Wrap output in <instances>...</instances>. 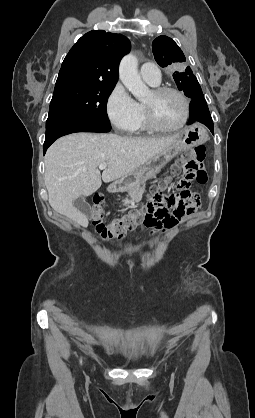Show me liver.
I'll return each instance as SVG.
<instances>
[{"mask_svg": "<svg viewBox=\"0 0 255 418\" xmlns=\"http://www.w3.org/2000/svg\"><path fill=\"white\" fill-rule=\"evenodd\" d=\"M180 134L161 138L75 133L58 139L45 155L49 204L58 213L88 225L75 206L80 196L96 192L104 182L127 177L153 156L170 147ZM106 163L102 175L98 166Z\"/></svg>", "mask_w": 255, "mask_h": 418, "instance_id": "6515ba94", "label": "liver"}]
</instances>
